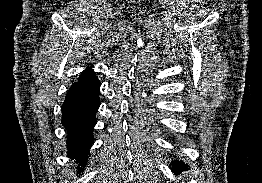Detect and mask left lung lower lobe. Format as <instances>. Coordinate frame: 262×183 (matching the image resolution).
I'll list each match as a JSON object with an SVG mask.
<instances>
[{
    "label": "left lung lower lobe",
    "mask_w": 262,
    "mask_h": 183,
    "mask_svg": "<svg viewBox=\"0 0 262 183\" xmlns=\"http://www.w3.org/2000/svg\"><path fill=\"white\" fill-rule=\"evenodd\" d=\"M186 166L187 164H185L184 162L176 160L172 163V170L175 171L176 174H178L179 172L187 169Z\"/></svg>",
    "instance_id": "obj_1"
}]
</instances>
